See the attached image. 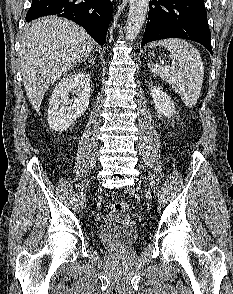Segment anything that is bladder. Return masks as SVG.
Listing matches in <instances>:
<instances>
[{"label": "bladder", "instance_id": "31cf9c89", "mask_svg": "<svg viewBox=\"0 0 233 294\" xmlns=\"http://www.w3.org/2000/svg\"><path fill=\"white\" fill-rule=\"evenodd\" d=\"M138 226L127 214L112 213L107 215L98 228L100 242L111 250L126 251L138 238Z\"/></svg>", "mask_w": 233, "mask_h": 294}]
</instances>
